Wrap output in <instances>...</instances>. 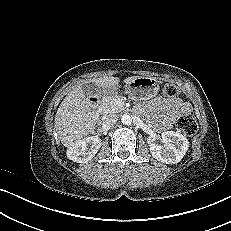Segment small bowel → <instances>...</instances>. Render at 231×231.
Listing matches in <instances>:
<instances>
[{
  "label": "small bowel",
  "instance_id": "small-bowel-1",
  "mask_svg": "<svg viewBox=\"0 0 231 231\" xmlns=\"http://www.w3.org/2000/svg\"><path fill=\"white\" fill-rule=\"evenodd\" d=\"M147 108L149 119L161 131L171 129L179 114L190 111V105L180 98L164 99L156 97L148 104ZM139 110L143 111L141 107Z\"/></svg>",
  "mask_w": 231,
  "mask_h": 231
}]
</instances>
